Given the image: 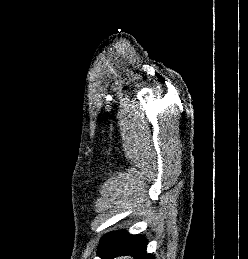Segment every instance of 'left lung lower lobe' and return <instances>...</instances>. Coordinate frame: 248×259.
<instances>
[{
    "label": "left lung lower lobe",
    "instance_id": "1",
    "mask_svg": "<svg viewBox=\"0 0 248 259\" xmlns=\"http://www.w3.org/2000/svg\"><path fill=\"white\" fill-rule=\"evenodd\" d=\"M146 240L140 235L114 232L101 239L98 255L102 259H113L120 255H132L135 259H155L146 252Z\"/></svg>",
    "mask_w": 248,
    "mask_h": 259
}]
</instances>
